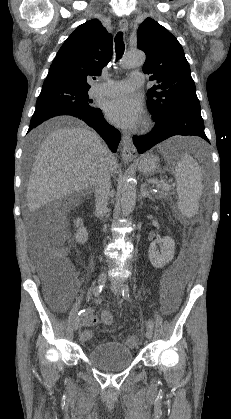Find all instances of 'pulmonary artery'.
Wrapping results in <instances>:
<instances>
[{
	"instance_id": "1",
	"label": "pulmonary artery",
	"mask_w": 231,
	"mask_h": 419,
	"mask_svg": "<svg viewBox=\"0 0 231 419\" xmlns=\"http://www.w3.org/2000/svg\"><path fill=\"white\" fill-rule=\"evenodd\" d=\"M144 83V75L141 72H133L122 81H108L104 84L96 85L92 90L93 96H120L131 92Z\"/></svg>"
}]
</instances>
